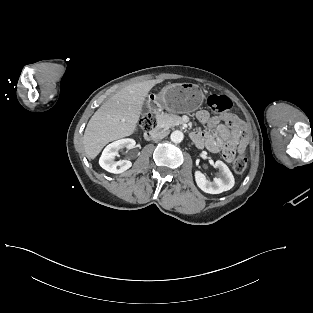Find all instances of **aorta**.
Here are the masks:
<instances>
[{"mask_svg":"<svg viewBox=\"0 0 313 313\" xmlns=\"http://www.w3.org/2000/svg\"><path fill=\"white\" fill-rule=\"evenodd\" d=\"M171 141L174 143H180L182 142L183 138H184V134L179 131V130H175L171 133Z\"/></svg>","mask_w":313,"mask_h":313,"instance_id":"1","label":"aorta"}]
</instances>
